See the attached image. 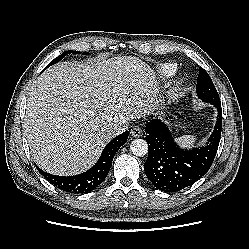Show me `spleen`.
<instances>
[{"label": "spleen", "instance_id": "1", "mask_svg": "<svg viewBox=\"0 0 249 249\" xmlns=\"http://www.w3.org/2000/svg\"><path fill=\"white\" fill-rule=\"evenodd\" d=\"M176 141L183 147H191L194 145L196 137L191 135H185L177 138Z\"/></svg>", "mask_w": 249, "mask_h": 249}]
</instances>
